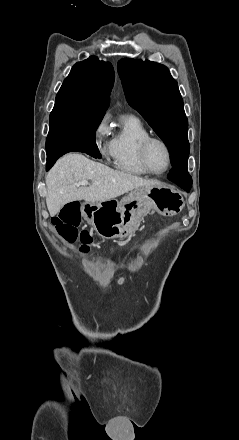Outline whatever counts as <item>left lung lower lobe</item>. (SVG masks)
Returning a JSON list of instances; mask_svg holds the SVG:
<instances>
[{"label":"left lung lower lobe","instance_id":"0a47b994","mask_svg":"<svg viewBox=\"0 0 239 440\" xmlns=\"http://www.w3.org/2000/svg\"><path fill=\"white\" fill-rule=\"evenodd\" d=\"M168 179L178 184L181 188H183L187 192L190 191L192 185V178L187 171V164L173 167V169L171 170L168 176Z\"/></svg>","mask_w":239,"mask_h":440}]
</instances>
